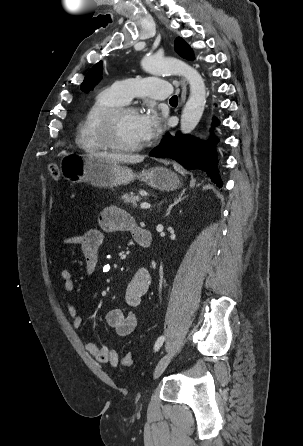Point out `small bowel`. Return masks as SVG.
I'll return each mask as SVG.
<instances>
[{
	"instance_id": "c3829d8e",
	"label": "small bowel",
	"mask_w": 303,
	"mask_h": 446,
	"mask_svg": "<svg viewBox=\"0 0 303 446\" xmlns=\"http://www.w3.org/2000/svg\"><path fill=\"white\" fill-rule=\"evenodd\" d=\"M99 226L100 229L91 228L83 233L68 236L63 239L61 244L63 248L74 245L81 247L87 275H92L99 265V251L104 242L105 233L129 231L135 238L141 229L126 211L116 206H109L101 212ZM59 274L64 281V293L66 296H70L75 290V281L72 274L67 268H61ZM151 281V274L145 267L137 269L125 290L126 308H116L106 313L107 325L113 328L118 336L126 337L135 330L137 326L135 309L147 293ZM67 308L73 327L80 328L83 323L81 314L72 302H68ZM85 348L99 362L108 363L112 366L118 364V354L111 347H99L94 342H87Z\"/></svg>"
}]
</instances>
